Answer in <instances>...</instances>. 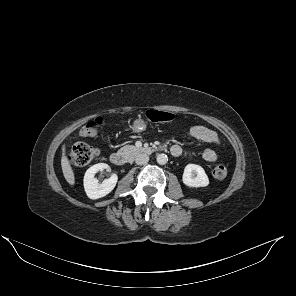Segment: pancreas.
<instances>
[{"label": "pancreas", "instance_id": "cf45deb5", "mask_svg": "<svg viewBox=\"0 0 296 296\" xmlns=\"http://www.w3.org/2000/svg\"><path fill=\"white\" fill-rule=\"evenodd\" d=\"M141 150L142 149L137 148L136 146L126 145V146L122 147L119 151L127 156H134V155L140 153Z\"/></svg>", "mask_w": 296, "mask_h": 296}]
</instances>
